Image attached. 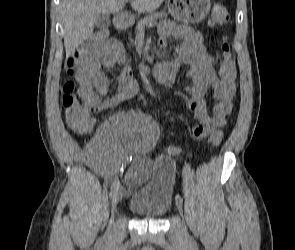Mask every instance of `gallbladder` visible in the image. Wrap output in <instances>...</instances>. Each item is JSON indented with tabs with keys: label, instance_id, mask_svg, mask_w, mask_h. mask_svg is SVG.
Masks as SVG:
<instances>
[{
	"label": "gallbladder",
	"instance_id": "1",
	"mask_svg": "<svg viewBox=\"0 0 295 250\" xmlns=\"http://www.w3.org/2000/svg\"><path fill=\"white\" fill-rule=\"evenodd\" d=\"M110 16L108 14H101L98 16L95 25L100 29H106L110 25Z\"/></svg>",
	"mask_w": 295,
	"mask_h": 250
}]
</instances>
